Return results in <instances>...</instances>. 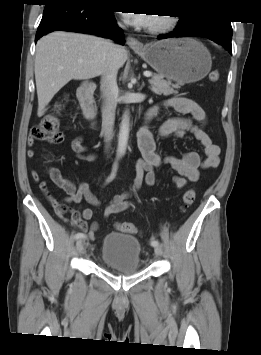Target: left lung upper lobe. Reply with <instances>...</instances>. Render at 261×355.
I'll use <instances>...</instances> for the list:
<instances>
[{
	"label": "left lung upper lobe",
	"instance_id": "1",
	"mask_svg": "<svg viewBox=\"0 0 261 355\" xmlns=\"http://www.w3.org/2000/svg\"><path fill=\"white\" fill-rule=\"evenodd\" d=\"M180 19L186 20V21L192 20V18H184V17H180ZM194 19H196V18H193V20H194Z\"/></svg>",
	"mask_w": 261,
	"mask_h": 355
}]
</instances>
